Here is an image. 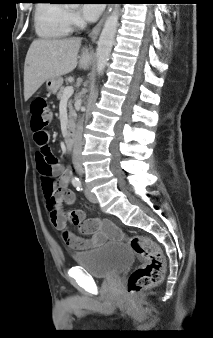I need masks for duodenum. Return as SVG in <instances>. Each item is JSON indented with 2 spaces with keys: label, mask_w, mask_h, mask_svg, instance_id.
<instances>
[{
  "label": "duodenum",
  "mask_w": 213,
  "mask_h": 338,
  "mask_svg": "<svg viewBox=\"0 0 213 338\" xmlns=\"http://www.w3.org/2000/svg\"><path fill=\"white\" fill-rule=\"evenodd\" d=\"M74 133H75V128L73 126H70L67 131V136L65 139V145L68 150H71L73 147L74 143Z\"/></svg>",
  "instance_id": "1"
}]
</instances>
